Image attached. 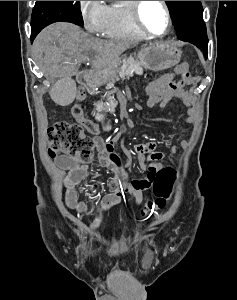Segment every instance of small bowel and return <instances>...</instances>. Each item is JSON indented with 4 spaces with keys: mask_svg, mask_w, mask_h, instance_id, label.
Segmentation results:
<instances>
[{
    "mask_svg": "<svg viewBox=\"0 0 237 300\" xmlns=\"http://www.w3.org/2000/svg\"><path fill=\"white\" fill-rule=\"evenodd\" d=\"M174 74H167L153 82H151L146 88V96H149L153 92L173 82ZM198 81L197 77H194V83ZM191 86V85H190ZM188 87V86H185ZM185 87H179L175 90L169 91L159 102V107L164 108L168 102L173 99L181 100L186 106L191 107L193 103L192 96L186 91ZM194 119L193 113L189 112L187 122H192ZM77 122L83 126L91 134L97 135L101 131L99 124L84 118H76ZM157 143L154 141H148L134 145V151L137 154L139 166L142 170L147 171V177L142 180L127 181V173L122 164L121 158L114 151V146H99L96 149L97 158L95 164L101 167L107 168L114 176L109 183L110 192L105 195L101 201V212L95 217L91 224L92 229L98 228L102 221L104 214L114 205L118 204L121 200V196L124 192L133 194L138 203H140V192L142 189L149 187V177L151 173L163 168L157 161L163 159L165 154L163 152L156 151ZM172 152H176V148L172 149ZM57 166L66 171L64 179L65 184V203L68 208L75 210L80 215L89 216L90 212L84 203H81L77 199L76 185L79 184L87 175L89 166L78 165L72 156L63 154L56 158ZM91 191L98 189V184H93L88 187ZM152 204L147 207L151 209ZM146 210L142 211L144 215Z\"/></svg>",
    "mask_w": 237,
    "mask_h": 300,
    "instance_id": "1",
    "label": "small bowel"
}]
</instances>
